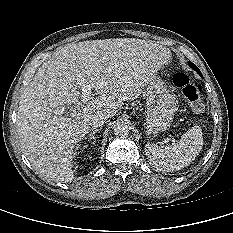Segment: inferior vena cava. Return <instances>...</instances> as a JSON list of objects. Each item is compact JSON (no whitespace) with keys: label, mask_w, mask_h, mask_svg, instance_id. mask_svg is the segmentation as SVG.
<instances>
[{"label":"inferior vena cava","mask_w":233,"mask_h":233,"mask_svg":"<svg viewBox=\"0 0 233 233\" xmlns=\"http://www.w3.org/2000/svg\"><path fill=\"white\" fill-rule=\"evenodd\" d=\"M106 120L107 117L104 114L97 112L89 117V124L94 128H98L102 127Z\"/></svg>","instance_id":"inferior-vena-cava-1"}]
</instances>
